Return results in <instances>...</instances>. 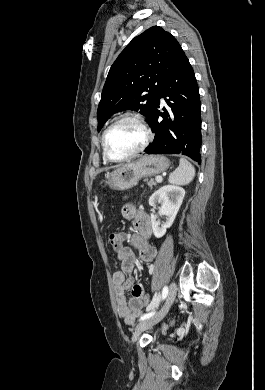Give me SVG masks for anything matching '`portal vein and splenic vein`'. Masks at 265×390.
<instances>
[{"label": "portal vein and splenic vein", "mask_w": 265, "mask_h": 390, "mask_svg": "<svg viewBox=\"0 0 265 390\" xmlns=\"http://www.w3.org/2000/svg\"><path fill=\"white\" fill-rule=\"evenodd\" d=\"M156 181L159 183L162 182V177L161 176L156 177Z\"/></svg>", "instance_id": "1"}]
</instances>
